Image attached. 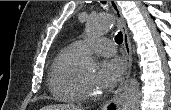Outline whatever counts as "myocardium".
<instances>
[{
    "label": "myocardium",
    "mask_w": 171,
    "mask_h": 110,
    "mask_svg": "<svg viewBox=\"0 0 171 110\" xmlns=\"http://www.w3.org/2000/svg\"><path fill=\"white\" fill-rule=\"evenodd\" d=\"M74 84H75V88H76L79 96L83 100L93 101V100L99 99L101 96L98 92L90 90L85 85V83L82 81V79L80 77V73L78 71H76L75 76H74Z\"/></svg>",
    "instance_id": "f54148a6"
}]
</instances>
